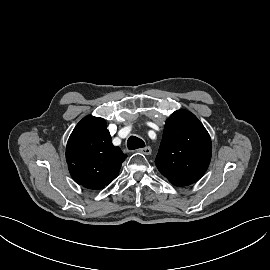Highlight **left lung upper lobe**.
I'll use <instances>...</instances> for the list:
<instances>
[{"instance_id":"obj_1","label":"left lung upper lobe","mask_w":270,"mask_h":270,"mask_svg":"<svg viewBox=\"0 0 270 270\" xmlns=\"http://www.w3.org/2000/svg\"><path fill=\"white\" fill-rule=\"evenodd\" d=\"M211 154L207 130L194 114L181 109L166 121L155 164L170 183L186 186L203 176Z\"/></svg>"}]
</instances>
